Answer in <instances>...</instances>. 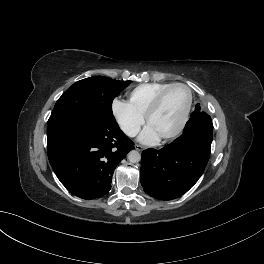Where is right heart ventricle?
I'll return each mask as SVG.
<instances>
[{
    "label": "right heart ventricle",
    "instance_id": "1",
    "mask_svg": "<svg viewBox=\"0 0 264 264\" xmlns=\"http://www.w3.org/2000/svg\"><path fill=\"white\" fill-rule=\"evenodd\" d=\"M168 85L169 83L140 84L128 92V103L136 112L144 116L154 97Z\"/></svg>",
    "mask_w": 264,
    "mask_h": 264
}]
</instances>
